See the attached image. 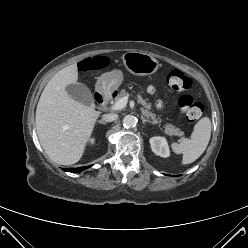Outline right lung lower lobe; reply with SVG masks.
<instances>
[{"instance_id":"98d812e1","label":"right lung lower lobe","mask_w":248,"mask_h":248,"mask_svg":"<svg viewBox=\"0 0 248 248\" xmlns=\"http://www.w3.org/2000/svg\"><path fill=\"white\" fill-rule=\"evenodd\" d=\"M90 166H86V167H80V168H63V170L67 171V172H73V173H78L81 172L87 168H89Z\"/></svg>"}]
</instances>
